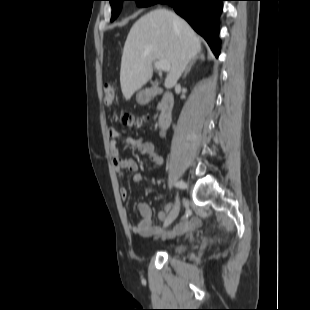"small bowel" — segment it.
Here are the masks:
<instances>
[{"instance_id": "obj_1", "label": "small bowel", "mask_w": 310, "mask_h": 310, "mask_svg": "<svg viewBox=\"0 0 310 310\" xmlns=\"http://www.w3.org/2000/svg\"><path fill=\"white\" fill-rule=\"evenodd\" d=\"M108 135L111 144V156L113 168L117 176L121 179L124 175V171L128 170L133 173L132 181L135 184H140L143 180V176L137 171V164L132 158L124 157L120 154L116 144L118 142L136 148L142 155L147 156L150 162L154 166H161L163 164V157L160 154L157 147L143 138H132L130 136L122 134L116 128H109ZM120 196L122 199L128 197V192L125 188H120ZM171 207V204H167L163 211L158 213V218L160 220H166V211ZM137 210L141 216V219L132 225V231L141 237H155L159 236L161 238H171L181 235L185 232H189L196 228L200 221L197 218H182L173 229L166 230L163 226L153 225L152 223V209L146 203H138Z\"/></svg>"}]
</instances>
